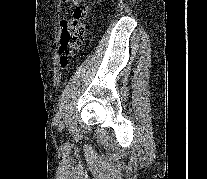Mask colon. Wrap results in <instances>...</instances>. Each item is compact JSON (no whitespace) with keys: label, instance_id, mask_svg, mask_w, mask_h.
<instances>
[{"label":"colon","instance_id":"obj_1","mask_svg":"<svg viewBox=\"0 0 207 179\" xmlns=\"http://www.w3.org/2000/svg\"><path fill=\"white\" fill-rule=\"evenodd\" d=\"M73 7V16L69 21L62 23L60 44L61 65L69 63L73 47L82 45L85 39L84 19L88 14V6L82 0H70Z\"/></svg>","mask_w":207,"mask_h":179}]
</instances>
